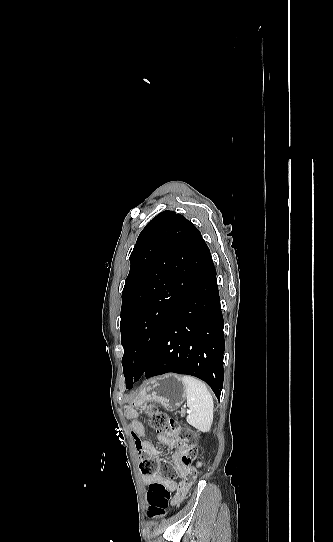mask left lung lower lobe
<instances>
[{"label": "left lung lower lobe", "instance_id": "obj_1", "mask_svg": "<svg viewBox=\"0 0 333 542\" xmlns=\"http://www.w3.org/2000/svg\"><path fill=\"white\" fill-rule=\"evenodd\" d=\"M223 325L216 269L210 254L164 326L142 375H192L205 381L220 399L224 376ZM140 377L127 381L126 388H132Z\"/></svg>", "mask_w": 333, "mask_h": 542}]
</instances>
